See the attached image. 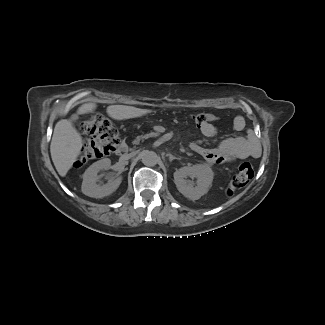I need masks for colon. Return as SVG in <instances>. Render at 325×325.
Instances as JSON below:
<instances>
[{"mask_svg":"<svg viewBox=\"0 0 325 325\" xmlns=\"http://www.w3.org/2000/svg\"><path fill=\"white\" fill-rule=\"evenodd\" d=\"M193 121L200 128L205 123H214L216 116L201 113L193 116ZM79 130L88 136L84 143L77 164L101 158L113 153L119 146V136L112 123L102 115H92L79 124ZM254 176L253 165L249 162L240 164L233 176L228 191L233 193L245 187Z\"/></svg>","mask_w":325,"mask_h":325,"instance_id":"5ec220e1","label":"colon"}]
</instances>
